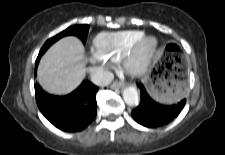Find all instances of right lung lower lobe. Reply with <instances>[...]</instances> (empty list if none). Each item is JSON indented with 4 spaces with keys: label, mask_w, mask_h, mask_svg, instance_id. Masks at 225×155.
Returning a JSON list of instances; mask_svg holds the SVG:
<instances>
[{
    "label": "right lung lower lobe",
    "mask_w": 225,
    "mask_h": 155,
    "mask_svg": "<svg viewBox=\"0 0 225 155\" xmlns=\"http://www.w3.org/2000/svg\"><path fill=\"white\" fill-rule=\"evenodd\" d=\"M40 57L38 55L36 67ZM34 86L40 111L55 127L67 132H77L86 128L95 119L98 87L94 84L84 81L66 96H53L44 92L37 83Z\"/></svg>",
    "instance_id": "right-lung-lower-lobe-1"
}]
</instances>
